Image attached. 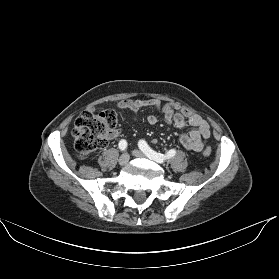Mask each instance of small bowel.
<instances>
[{"label":"small bowel","instance_id":"obj_1","mask_svg":"<svg viewBox=\"0 0 279 279\" xmlns=\"http://www.w3.org/2000/svg\"><path fill=\"white\" fill-rule=\"evenodd\" d=\"M156 107L164 117L168 124H174L177 128L183 129L191 126L192 129L188 134L180 135V143L188 150L199 152L204 147L210 137V129L208 123L199 115L185 108H180L178 104L170 102L162 105L157 99L146 100H123L118 103V107L122 109H130L134 113L143 107ZM150 125H155L158 118L155 115L147 117ZM118 135V131L112 133V136Z\"/></svg>","mask_w":279,"mask_h":279}]
</instances>
